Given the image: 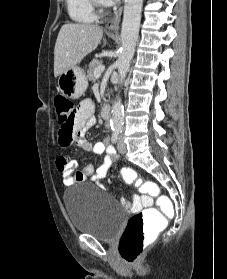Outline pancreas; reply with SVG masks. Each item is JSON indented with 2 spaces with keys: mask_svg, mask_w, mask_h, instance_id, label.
<instances>
[{
  "mask_svg": "<svg viewBox=\"0 0 227 279\" xmlns=\"http://www.w3.org/2000/svg\"><path fill=\"white\" fill-rule=\"evenodd\" d=\"M102 65V61L98 60V59H94L90 64H89V69L87 71L88 74V78L91 81L95 80V70Z\"/></svg>",
  "mask_w": 227,
  "mask_h": 279,
  "instance_id": "cf45deb5",
  "label": "pancreas"
}]
</instances>
